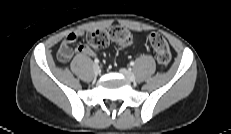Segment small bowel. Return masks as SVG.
<instances>
[{
	"label": "small bowel",
	"mask_w": 231,
	"mask_h": 134,
	"mask_svg": "<svg viewBox=\"0 0 231 134\" xmlns=\"http://www.w3.org/2000/svg\"><path fill=\"white\" fill-rule=\"evenodd\" d=\"M83 31H73L69 33L66 38L62 41L60 48L58 50V60L62 63H67L73 54L71 45L81 36H83ZM75 53L78 55H86V56H91V57H96V52L91 49L88 45L86 44H80L76 47Z\"/></svg>",
	"instance_id": "obj_1"
}]
</instances>
